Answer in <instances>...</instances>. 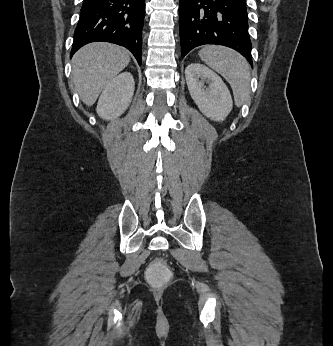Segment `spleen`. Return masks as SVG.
I'll list each match as a JSON object with an SVG mask.
<instances>
[{"label": "spleen", "mask_w": 333, "mask_h": 346, "mask_svg": "<svg viewBox=\"0 0 333 346\" xmlns=\"http://www.w3.org/2000/svg\"><path fill=\"white\" fill-rule=\"evenodd\" d=\"M199 56L229 82L235 103L241 106L250 95L251 77L246 59L232 49L214 45L202 48Z\"/></svg>", "instance_id": "spleen-1"}]
</instances>
